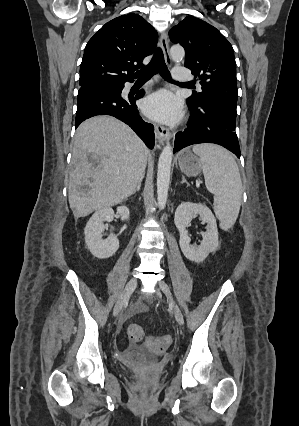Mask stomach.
I'll use <instances>...</instances> for the list:
<instances>
[{
    "instance_id": "1",
    "label": "stomach",
    "mask_w": 299,
    "mask_h": 426,
    "mask_svg": "<svg viewBox=\"0 0 299 426\" xmlns=\"http://www.w3.org/2000/svg\"><path fill=\"white\" fill-rule=\"evenodd\" d=\"M178 163L180 170L187 176H197L203 167L200 157L189 149L180 153Z\"/></svg>"
}]
</instances>
